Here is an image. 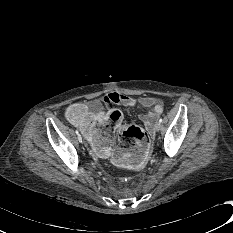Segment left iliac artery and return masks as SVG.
Segmentation results:
<instances>
[{
    "label": "left iliac artery",
    "instance_id": "1",
    "mask_svg": "<svg viewBox=\"0 0 233 233\" xmlns=\"http://www.w3.org/2000/svg\"><path fill=\"white\" fill-rule=\"evenodd\" d=\"M159 122L162 123V122H163V119L161 118V119L159 120Z\"/></svg>",
    "mask_w": 233,
    "mask_h": 233
}]
</instances>
